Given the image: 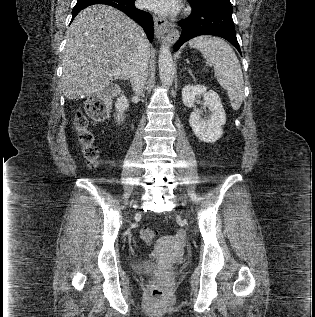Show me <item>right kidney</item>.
Masks as SVG:
<instances>
[{"mask_svg":"<svg viewBox=\"0 0 315 317\" xmlns=\"http://www.w3.org/2000/svg\"><path fill=\"white\" fill-rule=\"evenodd\" d=\"M128 106V100L125 96L118 98L115 103V108L119 113H123L128 108ZM117 118L120 119V115H118Z\"/></svg>","mask_w":315,"mask_h":317,"instance_id":"ca27d5eb","label":"right kidney"}]
</instances>
